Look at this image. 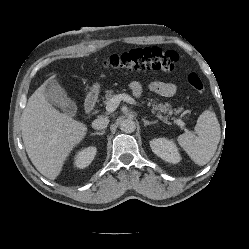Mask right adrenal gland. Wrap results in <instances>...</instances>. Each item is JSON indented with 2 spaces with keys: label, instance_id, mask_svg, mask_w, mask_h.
<instances>
[{
  "label": "right adrenal gland",
  "instance_id": "obj_1",
  "mask_svg": "<svg viewBox=\"0 0 249 249\" xmlns=\"http://www.w3.org/2000/svg\"><path fill=\"white\" fill-rule=\"evenodd\" d=\"M105 133V131H101V132H95V133H92L91 135H103Z\"/></svg>",
  "mask_w": 249,
  "mask_h": 249
}]
</instances>
